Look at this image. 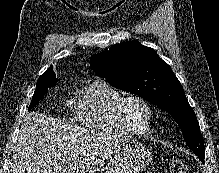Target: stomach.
I'll return each mask as SVG.
<instances>
[{
  "label": "stomach",
  "instance_id": "1",
  "mask_svg": "<svg viewBox=\"0 0 219 173\" xmlns=\"http://www.w3.org/2000/svg\"><path fill=\"white\" fill-rule=\"evenodd\" d=\"M151 161L152 154L144 144L131 142L115 151L107 164L100 167L97 173H139Z\"/></svg>",
  "mask_w": 219,
  "mask_h": 173
}]
</instances>
